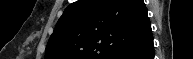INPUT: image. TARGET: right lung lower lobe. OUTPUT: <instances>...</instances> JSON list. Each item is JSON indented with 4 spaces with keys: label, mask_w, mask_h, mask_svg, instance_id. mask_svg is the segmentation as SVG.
<instances>
[{
    "label": "right lung lower lobe",
    "mask_w": 193,
    "mask_h": 59,
    "mask_svg": "<svg viewBox=\"0 0 193 59\" xmlns=\"http://www.w3.org/2000/svg\"><path fill=\"white\" fill-rule=\"evenodd\" d=\"M115 59H154L152 33H150L143 41L120 54Z\"/></svg>",
    "instance_id": "right-lung-lower-lobe-1"
}]
</instances>
